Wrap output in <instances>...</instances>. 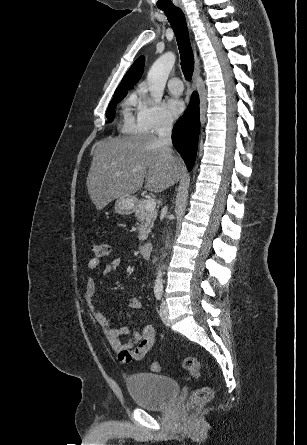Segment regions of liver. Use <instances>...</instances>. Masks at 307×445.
I'll return each instance as SVG.
<instances>
[{"mask_svg":"<svg viewBox=\"0 0 307 445\" xmlns=\"http://www.w3.org/2000/svg\"><path fill=\"white\" fill-rule=\"evenodd\" d=\"M132 168H138L132 172ZM181 158L156 134L117 136L95 142L86 184L97 210L114 198L132 196L144 184L146 190L161 192L180 176ZM121 172V174H115Z\"/></svg>","mask_w":307,"mask_h":445,"instance_id":"obj_1","label":"liver"}]
</instances>
